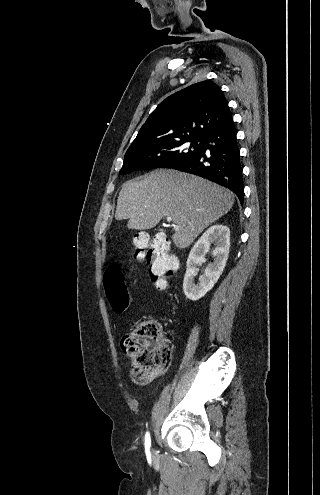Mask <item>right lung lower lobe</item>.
I'll use <instances>...</instances> for the list:
<instances>
[{
    "label": "right lung lower lobe",
    "instance_id": "98d812e1",
    "mask_svg": "<svg viewBox=\"0 0 320 495\" xmlns=\"http://www.w3.org/2000/svg\"><path fill=\"white\" fill-rule=\"evenodd\" d=\"M172 168L227 187L243 202L242 165L232 119L206 134L196 154Z\"/></svg>",
    "mask_w": 320,
    "mask_h": 495
}]
</instances>
